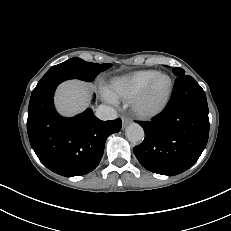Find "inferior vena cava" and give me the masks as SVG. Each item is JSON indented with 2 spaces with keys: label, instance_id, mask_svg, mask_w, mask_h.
I'll list each match as a JSON object with an SVG mask.
<instances>
[{
  "label": "inferior vena cava",
  "instance_id": "602c4592",
  "mask_svg": "<svg viewBox=\"0 0 231 231\" xmlns=\"http://www.w3.org/2000/svg\"><path fill=\"white\" fill-rule=\"evenodd\" d=\"M96 117L100 120H113L117 118V112L110 106L107 105H100L96 109Z\"/></svg>",
  "mask_w": 231,
  "mask_h": 231
}]
</instances>
